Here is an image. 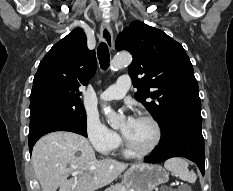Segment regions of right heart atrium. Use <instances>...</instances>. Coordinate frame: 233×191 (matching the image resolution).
I'll use <instances>...</instances> for the list:
<instances>
[{"instance_id":"d8ad5b80","label":"right heart atrium","mask_w":233,"mask_h":191,"mask_svg":"<svg viewBox=\"0 0 233 191\" xmlns=\"http://www.w3.org/2000/svg\"><path fill=\"white\" fill-rule=\"evenodd\" d=\"M86 131L92 146L101 154L113 152L121 143L120 136L95 117L87 118Z\"/></svg>"}]
</instances>
